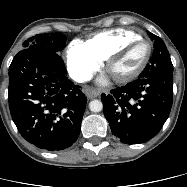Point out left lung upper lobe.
<instances>
[{
    "label": "left lung upper lobe",
    "instance_id": "1",
    "mask_svg": "<svg viewBox=\"0 0 187 187\" xmlns=\"http://www.w3.org/2000/svg\"><path fill=\"white\" fill-rule=\"evenodd\" d=\"M148 35L154 42V51L150 63L146 66L138 78H147L160 74H172L173 65L165 43L160 37L149 31Z\"/></svg>",
    "mask_w": 187,
    "mask_h": 187
}]
</instances>
